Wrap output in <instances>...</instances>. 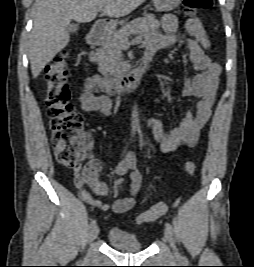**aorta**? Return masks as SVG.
Wrapping results in <instances>:
<instances>
[{
  "label": "aorta",
  "mask_w": 254,
  "mask_h": 267,
  "mask_svg": "<svg viewBox=\"0 0 254 267\" xmlns=\"http://www.w3.org/2000/svg\"><path fill=\"white\" fill-rule=\"evenodd\" d=\"M132 123H131V128H132V132H135L137 127H138V108L137 105L135 104L133 106V110H132Z\"/></svg>",
  "instance_id": "1"
}]
</instances>
